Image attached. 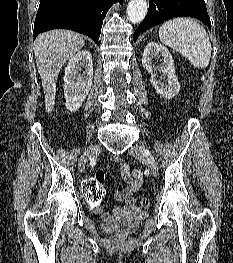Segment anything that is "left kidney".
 Wrapping results in <instances>:
<instances>
[{
    "label": "left kidney",
    "instance_id": "1",
    "mask_svg": "<svg viewBox=\"0 0 233 263\" xmlns=\"http://www.w3.org/2000/svg\"><path fill=\"white\" fill-rule=\"evenodd\" d=\"M160 55L163 57V64L157 67L153 66V59ZM142 65L143 68L150 73V82L158 94L166 99H171L179 93L180 84L178 82L177 76L175 75L174 61L170 52L165 46L154 41L148 43L143 52ZM154 71L162 72L161 78H166L167 83L157 80Z\"/></svg>",
    "mask_w": 233,
    "mask_h": 263
}]
</instances>
